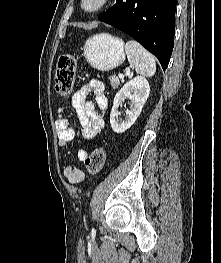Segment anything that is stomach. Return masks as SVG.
I'll list each match as a JSON object with an SVG mask.
<instances>
[{"label": "stomach", "instance_id": "1", "mask_svg": "<svg viewBox=\"0 0 221 263\" xmlns=\"http://www.w3.org/2000/svg\"><path fill=\"white\" fill-rule=\"evenodd\" d=\"M83 52L87 62L99 71L114 69L125 60L124 42L107 33L90 37Z\"/></svg>", "mask_w": 221, "mask_h": 263}]
</instances>
